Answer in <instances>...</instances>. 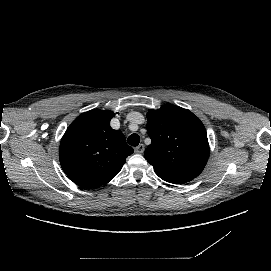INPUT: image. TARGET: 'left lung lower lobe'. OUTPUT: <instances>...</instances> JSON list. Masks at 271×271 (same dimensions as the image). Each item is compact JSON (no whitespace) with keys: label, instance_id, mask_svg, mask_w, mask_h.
Returning a JSON list of instances; mask_svg holds the SVG:
<instances>
[{"label":"left lung lower lobe","instance_id":"left-lung-lower-lobe-1","mask_svg":"<svg viewBox=\"0 0 271 271\" xmlns=\"http://www.w3.org/2000/svg\"><path fill=\"white\" fill-rule=\"evenodd\" d=\"M155 172L161 179L173 184H182L194 179V178L179 175V174L164 173V172H159V171H155Z\"/></svg>","mask_w":271,"mask_h":271}]
</instances>
